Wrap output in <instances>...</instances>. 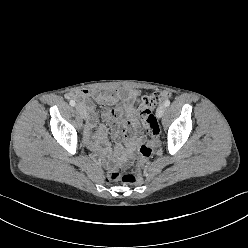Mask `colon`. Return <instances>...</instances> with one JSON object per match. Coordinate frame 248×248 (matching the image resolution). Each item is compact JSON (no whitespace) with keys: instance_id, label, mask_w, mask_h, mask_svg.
Returning a JSON list of instances; mask_svg holds the SVG:
<instances>
[{"instance_id":"5ec220e1","label":"colon","mask_w":248,"mask_h":248,"mask_svg":"<svg viewBox=\"0 0 248 248\" xmlns=\"http://www.w3.org/2000/svg\"><path fill=\"white\" fill-rule=\"evenodd\" d=\"M170 97L166 91H155L154 93L143 97L139 107V116L149 136L146 144L141 146L139 157L132 169L126 173H119L110 170L106 174L108 183L122 182L125 184H135L141 181V175L144 165L151 158L155 147L159 142L160 128L157 119L152 113L153 108Z\"/></svg>"}]
</instances>
